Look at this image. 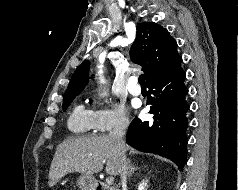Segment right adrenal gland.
<instances>
[{"label": "right adrenal gland", "instance_id": "1", "mask_svg": "<svg viewBox=\"0 0 238 190\" xmlns=\"http://www.w3.org/2000/svg\"><path fill=\"white\" fill-rule=\"evenodd\" d=\"M127 162H128V179H130L131 175L140 168L132 165L130 160H128Z\"/></svg>", "mask_w": 238, "mask_h": 190}]
</instances>
